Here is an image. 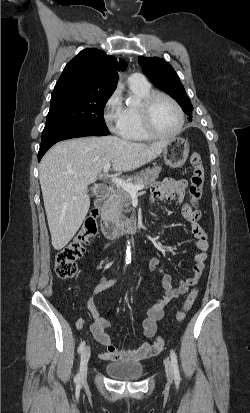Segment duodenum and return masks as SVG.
I'll use <instances>...</instances> for the list:
<instances>
[{
	"instance_id": "1",
	"label": "duodenum",
	"mask_w": 250,
	"mask_h": 413,
	"mask_svg": "<svg viewBox=\"0 0 250 413\" xmlns=\"http://www.w3.org/2000/svg\"><path fill=\"white\" fill-rule=\"evenodd\" d=\"M113 193V189L108 187L95 201L94 210L99 212V224L102 234L106 238H116L124 234L136 233L140 230V223L136 218L125 221H116L106 212L107 200Z\"/></svg>"
}]
</instances>
